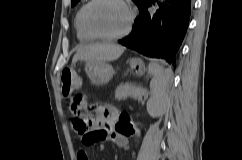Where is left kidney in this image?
<instances>
[{"mask_svg": "<svg viewBox=\"0 0 242 160\" xmlns=\"http://www.w3.org/2000/svg\"><path fill=\"white\" fill-rule=\"evenodd\" d=\"M147 112L153 118L159 117L164 113V107L156 103L153 98L147 102Z\"/></svg>", "mask_w": 242, "mask_h": 160, "instance_id": "1", "label": "left kidney"}]
</instances>
